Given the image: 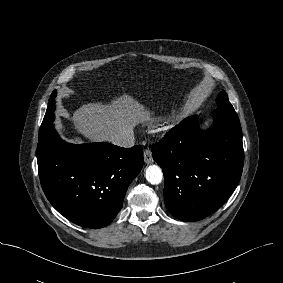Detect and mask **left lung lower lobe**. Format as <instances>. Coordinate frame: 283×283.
<instances>
[{"mask_svg":"<svg viewBox=\"0 0 283 283\" xmlns=\"http://www.w3.org/2000/svg\"><path fill=\"white\" fill-rule=\"evenodd\" d=\"M162 168L167 210L183 221H198L216 211L237 187L243 169L242 130L234 108L218 107L209 130L197 116L172 128L152 146Z\"/></svg>","mask_w":283,"mask_h":283,"instance_id":"obj_1","label":"left lung lower lobe"}]
</instances>
